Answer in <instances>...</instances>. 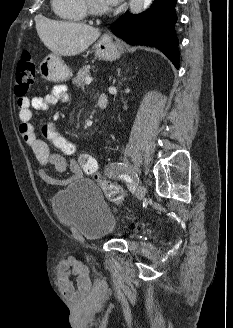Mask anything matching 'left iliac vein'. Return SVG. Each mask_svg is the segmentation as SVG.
<instances>
[{
	"label": "left iliac vein",
	"mask_w": 233,
	"mask_h": 328,
	"mask_svg": "<svg viewBox=\"0 0 233 328\" xmlns=\"http://www.w3.org/2000/svg\"><path fill=\"white\" fill-rule=\"evenodd\" d=\"M131 177H132V180L137 183V181H138L137 175L134 174V173H131ZM137 185L138 186H137V190H136V197L139 200H142L145 197V195H146V189L141 184H137Z\"/></svg>",
	"instance_id": "1"
}]
</instances>
